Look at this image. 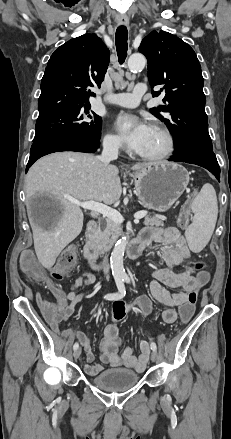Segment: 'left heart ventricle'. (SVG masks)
<instances>
[{
  "label": "left heart ventricle",
  "instance_id": "b2bd125f",
  "mask_svg": "<svg viewBox=\"0 0 231 439\" xmlns=\"http://www.w3.org/2000/svg\"><path fill=\"white\" fill-rule=\"evenodd\" d=\"M166 147V140L161 132L153 128L149 137L138 153L155 155L161 153Z\"/></svg>",
  "mask_w": 231,
  "mask_h": 439
}]
</instances>
